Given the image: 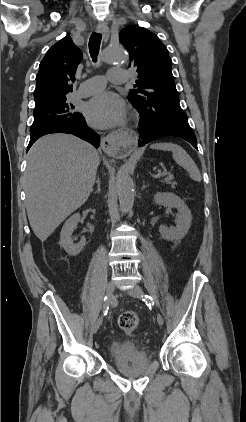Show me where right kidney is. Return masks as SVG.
Wrapping results in <instances>:
<instances>
[{
  "mask_svg": "<svg viewBox=\"0 0 246 422\" xmlns=\"http://www.w3.org/2000/svg\"><path fill=\"white\" fill-rule=\"evenodd\" d=\"M80 221V214L76 213L72 215L63 225V228L60 233V242L64 250L70 256H77L86 244L85 237H82L80 242L75 244L72 240V233L77 228V225Z\"/></svg>",
  "mask_w": 246,
  "mask_h": 422,
  "instance_id": "ca27d5eb",
  "label": "right kidney"
}]
</instances>
